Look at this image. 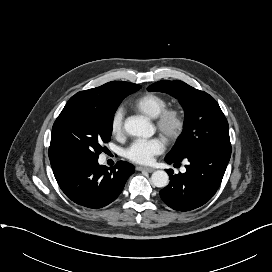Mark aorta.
<instances>
[{
	"label": "aorta",
	"mask_w": 272,
	"mask_h": 272,
	"mask_svg": "<svg viewBox=\"0 0 272 272\" xmlns=\"http://www.w3.org/2000/svg\"><path fill=\"white\" fill-rule=\"evenodd\" d=\"M125 131L136 137L149 138L154 134V127L150 122L138 117H130L124 123ZM151 182L154 186L162 188L168 185L169 176L163 170L155 171L151 176Z\"/></svg>",
	"instance_id": "aorta-1"
}]
</instances>
